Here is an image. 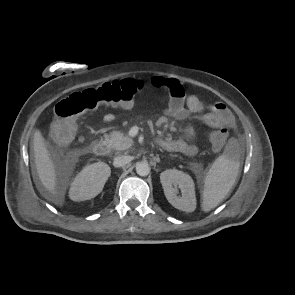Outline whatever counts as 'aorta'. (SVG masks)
<instances>
[{
  "label": "aorta",
  "instance_id": "762f6f07",
  "mask_svg": "<svg viewBox=\"0 0 295 295\" xmlns=\"http://www.w3.org/2000/svg\"><path fill=\"white\" fill-rule=\"evenodd\" d=\"M136 172L139 176H147L150 173V166L147 162H140L136 165Z\"/></svg>",
  "mask_w": 295,
  "mask_h": 295
}]
</instances>
